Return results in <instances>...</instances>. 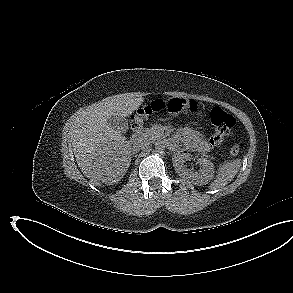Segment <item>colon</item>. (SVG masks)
I'll return each instance as SVG.
<instances>
[{
    "label": "colon",
    "mask_w": 293,
    "mask_h": 293,
    "mask_svg": "<svg viewBox=\"0 0 293 293\" xmlns=\"http://www.w3.org/2000/svg\"><path fill=\"white\" fill-rule=\"evenodd\" d=\"M191 110L196 109L194 102L190 103ZM163 108L161 102H153L148 106L142 107L133 117L131 125L133 129L140 128L144 120L153 113L159 112ZM211 123L214 126V134L210 141L213 145H219L224 140L225 136L229 134L233 126L235 125V118L219 107H215L210 113ZM243 148L242 143L235 142L230 148V155L237 156Z\"/></svg>",
    "instance_id": "colon-1"
}]
</instances>
